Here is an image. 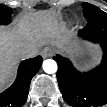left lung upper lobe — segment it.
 <instances>
[{
	"instance_id": "1",
	"label": "left lung upper lobe",
	"mask_w": 107,
	"mask_h": 107,
	"mask_svg": "<svg viewBox=\"0 0 107 107\" xmlns=\"http://www.w3.org/2000/svg\"><path fill=\"white\" fill-rule=\"evenodd\" d=\"M83 13L88 22L94 21L98 18L107 17V13L89 3H83Z\"/></svg>"
}]
</instances>
